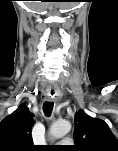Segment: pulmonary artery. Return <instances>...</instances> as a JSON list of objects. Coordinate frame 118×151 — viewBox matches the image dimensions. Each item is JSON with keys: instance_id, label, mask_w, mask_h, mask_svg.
<instances>
[{"instance_id": "obj_1", "label": "pulmonary artery", "mask_w": 118, "mask_h": 151, "mask_svg": "<svg viewBox=\"0 0 118 151\" xmlns=\"http://www.w3.org/2000/svg\"><path fill=\"white\" fill-rule=\"evenodd\" d=\"M72 143V139L70 138H65L61 141V144L65 145V144H71Z\"/></svg>"}]
</instances>
